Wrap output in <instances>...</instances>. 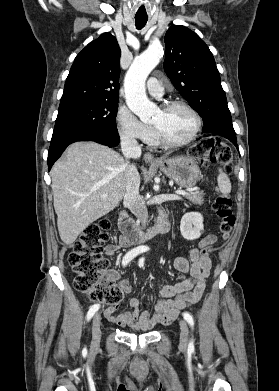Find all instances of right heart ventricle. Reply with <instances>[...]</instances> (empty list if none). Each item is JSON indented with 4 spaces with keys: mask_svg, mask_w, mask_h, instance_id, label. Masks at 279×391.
Instances as JSON below:
<instances>
[{
    "mask_svg": "<svg viewBox=\"0 0 279 391\" xmlns=\"http://www.w3.org/2000/svg\"><path fill=\"white\" fill-rule=\"evenodd\" d=\"M149 142L154 145L158 143V141L154 135L151 136V138L149 139Z\"/></svg>",
    "mask_w": 279,
    "mask_h": 391,
    "instance_id": "1",
    "label": "right heart ventricle"
}]
</instances>
